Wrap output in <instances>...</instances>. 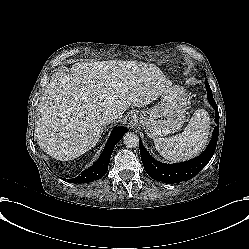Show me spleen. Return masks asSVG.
<instances>
[{"label":"spleen","mask_w":249,"mask_h":249,"mask_svg":"<svg viewBox=\"0 0 249 249\" xmlns=\"http://www.w3.org/2000/svg\"><path fill=\"white\" fill-rule=\"evenodd\" d=\"M210 121L204 109L197 110L182 133L169 138H155L160 155L172 162L193 158L206 146Z\"/></svg>","instance_id":"obj_1"}]
</instances>
